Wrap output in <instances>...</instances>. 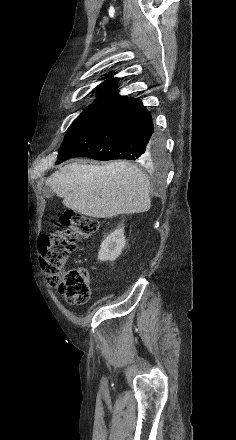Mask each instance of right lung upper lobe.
<instances>
[{"mask_svg": "<svg viewBox=\"0 0 236 440\" xmlns=\"http://www.w3.org/2000/svg\"><path fill=\"white\" fill-rule=\"evenodd\" d=\"M97 90L99 97L94 101L95 105L110 106L116 108L132 98L127 96H120L116 89V78L108 76V78L98 85L94 91Z\"/></svg>", "mask_w": 236, "mask_h": 440, "instance_id": "right-lung-upper-lobe-1", "label": "right lung upper lobe"}]
</instances>
